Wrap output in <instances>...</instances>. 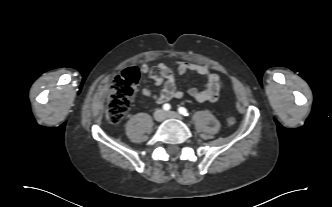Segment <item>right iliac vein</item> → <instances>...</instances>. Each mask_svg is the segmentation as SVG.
Instances as JSON below:
<instances>
[{"label": "right iliac vein", "mask_w": 332, "mask_h": 207, "mask_svg": "<svg viewBox=\"0 0 332 207\" xmlns=\"http://www.w3.org/2000/svg\"><path fill=\"white\" fill-rule=\"evenodd\" d=\"M154 118L158 122L163 121L165 119V113H164V111L160 110V109L156 110V112L154 113Z\"/></svg>", "instance_id": "right-iliac-vein-1"}]
</instances>
